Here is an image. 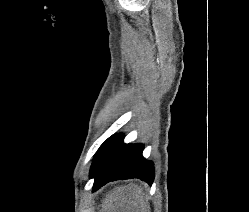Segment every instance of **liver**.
I'll list each match as a JSON object with an SVG mask.
<instances>
[{"label": "liver", "mask_w": 249, "mask_h": 212, "mask_svg": "<svg viewBox=\"0 0 249 212\" xmlns=\"http://www.w3.org/2000/svg\"><path fill=\"white\" fill-rule=\"evenodd\" d=\"M144 198L141 186L129 182L106 194L102 200L101 212H150V206L144 202Z\"/></svg>", "instance_id": "1"}]
</instances>
